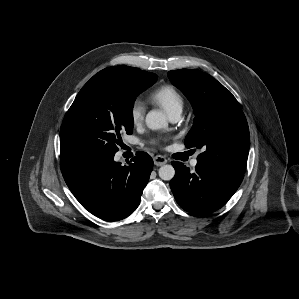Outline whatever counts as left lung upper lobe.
I'll return each mask as SVG.
<instances>
[{"instance_id": "obj_1", "label": "left lung upper lobe", "mask_w": 299, "mask_h": 299, "mask_svg": "<svg viewBox=\"0 0 299 299\" xmlns=\"http://www.w3.org/2000/svg\"><path fill=\"white\" fill-rule=\"evenodd\" d=\"M168 77L189 99L196 115L184 143L187 148L203 150L197 162L244 174L250 135L236 98L212 76L199 70L169 71Z\"/></svg>"}]
</instances>
